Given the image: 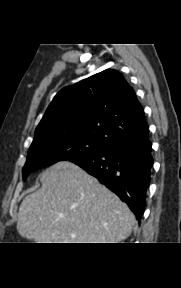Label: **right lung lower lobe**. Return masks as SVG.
I'll return each mask as SVG.
<instances>
[{
  "label": "right lung lower lobe",
  "mask_w": 181,
  "mask_h": 288,
  "mask_svg": "<svg viewBox=\"0 0 181 288\" xmlns=\"http://www.w3.org/2000/svg\"><path fill=\"white\" fill-rule=\"evenodd\" d=\"M151 149L152 144L147 138L141 142L115 144L71 162L117 194L140 221L145 210V195L153 165Z\"/></svg>",
  "instance_id": "1"
}]
</instances>
